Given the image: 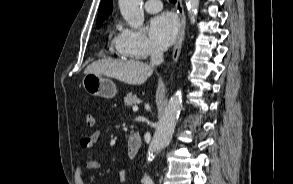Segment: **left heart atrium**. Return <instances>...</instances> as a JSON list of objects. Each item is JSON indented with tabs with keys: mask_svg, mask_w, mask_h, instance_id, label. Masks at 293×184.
Wrapping results in <instances>:
<instances>
[{
	"mask_svg": "<svg viewBox=\"0 0 293 184\" xmlns=\"http://www.w3.org/2000/svg\"><path fill=\"white\" fill-rule=\"evenodd\" d=\"M178 32V21L171 13H162L154 17L149 25V35L160 48L170 46Z\"/></svg>",
	"mask_w": 293,
	"mask_h": 184,
	"instance_id": "left-heart-atrium-1",
	"label": "left heart atrium"
}]
</instances>
